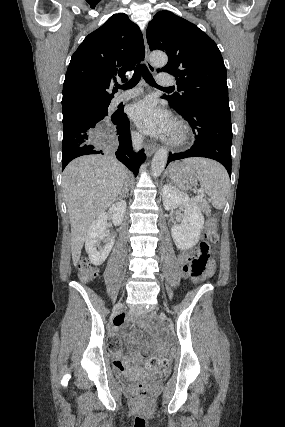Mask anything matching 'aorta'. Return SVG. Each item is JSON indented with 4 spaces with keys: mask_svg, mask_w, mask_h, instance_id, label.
Returning a JSON list of instances; mask_svg holds the SVG:
<instances>
[{
    "mask_svg": "<svg viewBox=\"0 0 285 427\" xmlns=\"http://www.w3.org/2000/svg\"><path fill=\"white\" fill-rule=\"evenodd\" d=\"M150 61L153 65L162 67L166 65L168 57L164 52H153L150 55ZM168 160V150L164 147L158 149L152 159L151 174L158 177L163 172Z\"/></svg>",
    "mask_w": 285,
    "mask_h": 427,
    "instance_id": "1",
    "label": "aorta"
}]
</instances>
